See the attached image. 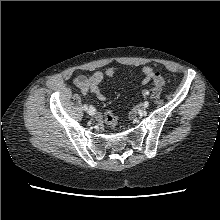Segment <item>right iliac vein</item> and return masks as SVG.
I'll return each instance as SVG.
<instances>
[{
  "instance_id": "1",
  "label": "right iliac vein",
  "mask_w": 220,
  "mask_h": 220,
  "mask_svg": "<svg viewBox=\"0 0 220 220\" xmlns=\"http://www.w3.org/2000/svg\"><path fill=\"white\" fill-rule=\"evenodd\" d=\"M88 113H89V115H94L95 114V110L92 106L88 109Z\"/></svg>"
}]
</instances>
